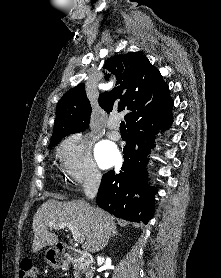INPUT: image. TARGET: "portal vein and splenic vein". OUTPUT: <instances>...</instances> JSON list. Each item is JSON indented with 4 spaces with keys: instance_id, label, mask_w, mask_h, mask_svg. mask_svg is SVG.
Listing matches in <instances>:
<instances>
[{
    "instance_id": "portal-vein-and-splenic-vein-1",
    "label": "portal vein and splenic vein",
    "mask_w": 221,
    "mask_h": 278,
    "mask_svg": "<svg viewBox=\"0 0 221 278\" xmlns=\"http://www.w3.org/2000/svg\"><path fill=\"white\" fill-rule=\"evenodd\" d=\"M66 227L71 231L72 236L77 243L84 242L83 235L80 233V231L77 229V227H75V225H73L71 223H60V224H51L50 225V228H54L55 230L63 229Z\"/></svg>"
}]
</instances>
